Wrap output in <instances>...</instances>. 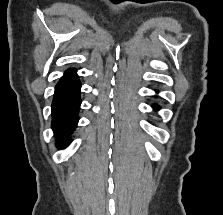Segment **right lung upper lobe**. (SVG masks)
Here are the masks:
<instances>
[{"label":"right lung upper lobe","mask_w":223,"mask_h":215,"mask_svg":"<svg viewBox=\"0 0 223 215\" xmlns=\"http://www.w3.org/2000/svg\"><path fill=\"white\" fill-rule=\"evenodd\" d=\"M73 72H75L74 69H69V70L66 71L65 75H67V74H71V73H73Z\"/></svg>","instance_id":"1"}]
</instances>
